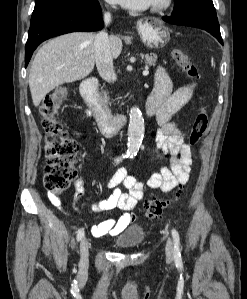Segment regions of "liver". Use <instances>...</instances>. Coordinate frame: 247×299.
Listing matches in <instances>:
<instances>
[{
    "mask_svg": "<svg viewBox=\"0 0 247 299\" xmlns=\"http://www.w3.org/2000/svg\"><path fill=\"white\" fill-rule=\"evenodd\" d=\"M96 35L73 32L48 41L37 52L31 65L29 87L33 104L37 107L43 98L56 87L87 77L95 65ZM114 59L122 51L118 36L109 38Z\"/></svg>",
    "mask_w": 247,
    "mask_h": 299,
    "instance_id": "liver-1",
    "label": "liver"
}]
</instances>
